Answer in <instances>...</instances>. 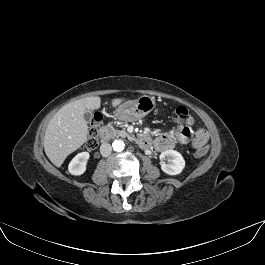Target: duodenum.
<instances>
[{
    "instance_id": "1",
    "label": "duodenum",
    "mask_w": 265,
    "mask_h": 265,
    "mask_svg": "<svg viewBox=\"0 0 265 265\" xmlns=\"http://www.w3.org/2000/svg\"><path fill=\"white\" fill-rule=\"evenodd\" d=\"M111 133H112V129L108 125L101 127L99 130V136L102 140H107L109 138V136L111 135ZM137 142L139 145H141L143 147H147L150 145V137L147 134H141L137 138Z\"/></svg>"
}]
</instances>
